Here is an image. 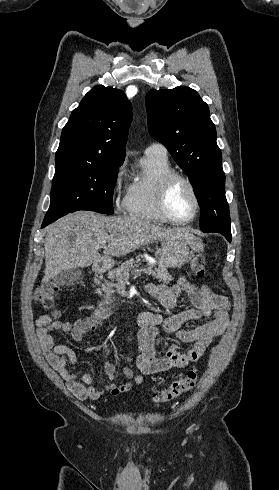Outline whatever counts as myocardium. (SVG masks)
<instances>
[{
	"label": "myocardium",
	"mask_w": 279,
	"mask_h": 490,
	"mask_svg": "<svg viewBox=\"0 0 279 490\" xmlns=\"http://www.w3.org/2000/svg\"><path fill=\"white\" fill-rule=\"evenodd\" d=\"M180 181L185 182L189 186L191 193L193 195V199H194L193 213L188 219L183 220V221L176 219L172 215L171 210H170L171 193H172L174 187L176 186V184ZM158 205H159V209H160L161 214L169 222L176 224V225H186V224L191 223L197 217L198 212H199V208H200V199H199V194H198V190H197L195 183L192 181V179L190 177H188L187 175H185L183 173L176 172V171H172V172L167 173L161 180L160 191H159V196H158Z\"/></svg>",
	"instance_id": "f54148a6"
}]
</instances>
